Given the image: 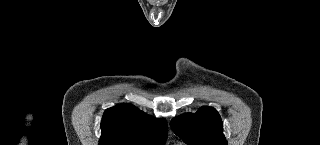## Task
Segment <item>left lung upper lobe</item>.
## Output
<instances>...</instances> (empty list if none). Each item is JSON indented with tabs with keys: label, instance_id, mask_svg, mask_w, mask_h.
I'll use <instances>...</instances> for the list:
<instances>
[{
	"label": "left lung upper lobe",
	"instance_id": "left-lung-upper-lobe-1",
	"mask_svg": "<svg viewBox=\"0 0 320 145\" xmlns=\"http://www.w3.org/2000/svg\"><path fill=\"white\" fill-rule=\"evenodd\" d=\"M171 127L189 145H227L221 118L211 107H201L195 114L175 117Z\"/></svg>",
	"mask_w": 320,
	"mask_h": 145
}]
</instances>
